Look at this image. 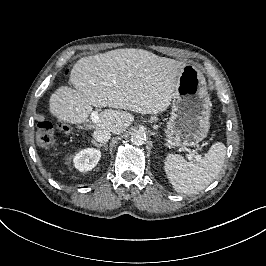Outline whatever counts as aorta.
<instances>
[{
	"instance_id": "obj_1",
	"label": "aorta",
	"mask_w": 266,
	"mask_h": 266,
	"mask_svg": "<svg viewBox=\"0 0 266 266\" xmlns=\"http://www.w3.org/2000/svg\"><path fill=\"white\" fill-rule=\"evenodd\" d=\"M146 141V133L142 130H137L131 134V142L134 145H142Z\"/></svg>"
}]
</instances>
